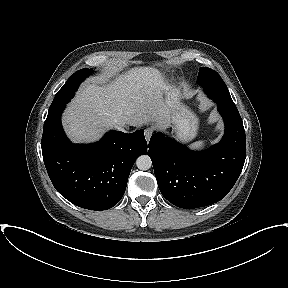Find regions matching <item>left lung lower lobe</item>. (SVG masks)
Wrapping results in <instances>:
<instances>
[{
  "label": "left lung lower lobe",
  "mask_w": 288,
  "mask_h": 288,
  "mask_svg": "<svg viewBox=\"0 0 288 288\" xmlns=\"http://www.w3.org/2000/svg\"><path fill=\"white\" fill-rule=\"evenodd\" d=\"M218 105L225 122L219 144L201 151H191L161 133L149 142L148 156L162 195L185 209L208 206L223 199L237 181L246 158V137L235 104L220 100Z\"/></svg>",
  "instance_id": "1"
}]
</instances>
